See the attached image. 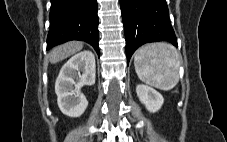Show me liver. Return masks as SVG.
<instances>
[{"label":"liver","mask_w":227,"mask_h":142,"mask_svg":"<svg viewBox=\"0 0 227 142\" xmlns=\"http://www.w3.org/2000/svg\"><path fill=\"white\" fill-rule=\"evenodd\" d=\"M83 48V43L79 41H71L52 49L50 52V62L58 63L71 55L79 52Z\"/></svg>","instance_id":"6515ba94"}]
</instances>
